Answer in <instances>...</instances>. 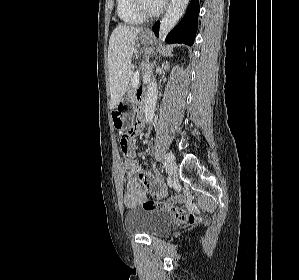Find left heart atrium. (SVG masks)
Wrapping results in <instances>:
<instances>
[{"label": "left heart atrium", "mask_w": 299, "mask_h": 280, "mask_svg": "<svg viewBox=\"0 0 299 280\" xmlns=\"http://www.w3.org/2000/svg\"><path fill=\"white\" fill-rule=\"evenodd\" d=\"M165 1H166V0H159V2H160L161 4H162V3H165Z\"/></svg>", "instance_id": "obj_1"}]
</instances>
